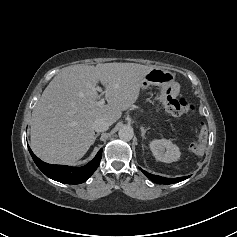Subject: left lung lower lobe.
<instances>
[{
    "mask_svg": "<svg viewBox=\"0 0 237 237\" xmlns=\"http://www.w3.org/2000/svg\"><path fill=\"white\" fill-rule=\"evenodd\" d=\"M142 172L148 178H150L152 181H154L157 184H173V183L181 182L189 177V176H186V177H178V178H165L158 175H152L144 170H142Z\"/></svg>",
    "mask_w": 237,
    "mask_h": 237,
    "instance_id": "obj_1",
    "label": "left lung lower lobe"
}]
</instances>
